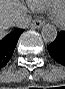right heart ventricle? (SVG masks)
<instances>
[{"label":"right heart ventricle","mask_w":65,"mask_h":89,"mask_svg":"<svg viewBox=\"0 0 65 89\" xmlns=\"http://www.w3.org/2000/svg\"><path fill=\"white\" fill-rule=\"evenodd\" d=\"M61 4V0H28V5L33 11L52 10L53 7Z\"/></svg>","instance_id":"obj_1"}]
</instances>
